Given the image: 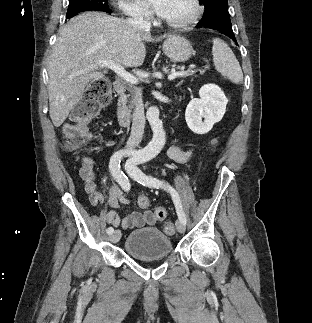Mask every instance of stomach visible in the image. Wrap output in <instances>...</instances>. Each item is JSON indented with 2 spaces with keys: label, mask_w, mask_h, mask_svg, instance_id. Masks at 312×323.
Here are the masks:
<instances>
[{
  "label": "stomach",
  "mask_w": 312,
  "mask_h": 323,
  "mask_svg": "<svg viewBox=\"0 0 312 323\" xmlns=\"http://www.w3.org/2000/svg\"><path fill=\"white\" fill-rule=\"evenodd\" d=\"M163 52L171 62H186L191 58L194 50L191 42L181 36H168L163 44Z\"/></svg>",
  "instance_id": "0dacf381"
}]
</instances>
